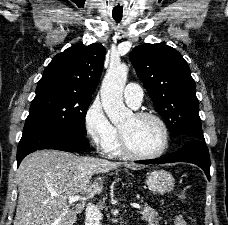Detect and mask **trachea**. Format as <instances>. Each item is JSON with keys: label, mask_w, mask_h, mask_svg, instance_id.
Listing matches in <instances>:
<instances>
[{"label": "trachea", "mask_w": 228, "mask_h": 225, "mask_svg": "<svg viewBox=\"0 0 228 225\" xmlns=\"http://www.w3.org/2000/svg\"><path fill=\"white\" fill-rule=\"evenodd\" d=\"M117 22H119L120 21V19H115Z\"/></svg>", "instance_id": "trachea-1"}]
</instances>
